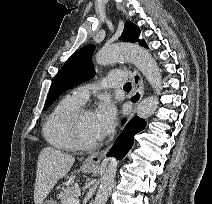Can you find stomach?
<instances>
[{"label":"stomach","instance_id":"obj_1","mask_svg":"<svg viewBox=\"0 0 212 204\" xmlns=\"http://www.w3.org/2000/svg\"><path fill=\"white\" fill-rule=\"evenodd\" d=\"M93 170H94L93 166L83 165L81 167V171L83 173H91ZM43 204H58V203H57V201L50 199V200H46Z\"/></svg>","mask_w":212,"mask_h":204}]
</instances>
